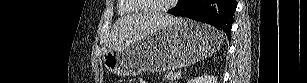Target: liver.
Returning <instances> with one entry per match:
<instances>
[{
	"instance_id": "1",
	"label": "liver",
	"mask_w": 307,
	"mask_h": 83,
	"mask_svg": "<svg viewBox=\"0 0 307 83\" xmlns=\"http://www.w3.org/2000/svg\"><path fill=\"white\" fill-rule=\"evenodd\" d=\"M176 19L178 18L163 14H136L124 17L118 20L112 29L109 50L134 43L156 29L173 23Z\"/></svg>"
}]
</instances>
